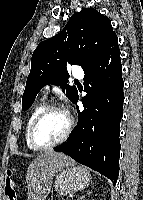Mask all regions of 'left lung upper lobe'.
<instances>
[{
	"label": "left lung upper lobe",
	"instance_id": "1",
	"mask_svg": "<svg viewBox=\"0 0 143 200\" xmlns=\"http://www.w3.org/2000/svg\"><path fill=\"white\" fill-rule=\"evenodd\" d=\"M115 37L108 17L97 10L85 8L72 15L59 34L41 42L33 52L22 110L32 105L40 89L47 84L60 85L73 101L77 89L67 85V65L87 69Z\"/></svg>",
	"mask_w": 143,
	"mask_h": 200
}]
</instances>
